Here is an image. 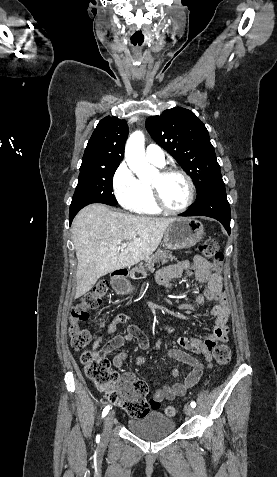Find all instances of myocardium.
I'll list each match as a JSON object with an SVG mask.
<instances>
[{
    "instance_id": "obj_1",
    "label": "myocardium",
    "mask_w": 277,
    "mask_h": 477,
    "mask_svg": "<svg viewBox=\"0 0 277 477\" xmlns=\"http://www.w3.org/2000/svg\"><path fill=\"white\" fill-rule=\"evenodd\" d=\"M172 174H177V175L182 176L186 180L187 185H188L187 200L184 203V205L181 206L180 208L173 209V208L168 207L165 204V202L163 201V198L161 196L159 185H158L157 182H150L149 185H150V190H151V194H152L154 203L160 211H162L164 213H167V214H180V213L185 212L192 205V203L194 201V198H195V191H196L195 190V184H194L193 179L191 178V176L186 171H184L182 169L171 167V168H165V169H162V170L158 171V175L161 178L166 177L168 175H172Z\"/></svg>"
}]
</instances>
